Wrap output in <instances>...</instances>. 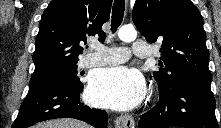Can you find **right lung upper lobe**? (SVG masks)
<instances>
[{"instance_id":"obj_1","label":"right lung upper lobe","mask_w":221,"mask_h":128,"mask_svg":"<svg viewBox=\"0 0 221 128\" xmlns=\"http://www.w3.org/2000/svg\"><path fill=\"white\" fill-rule=\"evenodd\" d=\"M112 0H52L44 11L35 41L32 76L76 65L79 44L92 37L104 42L102 25L109 20Z\"/></svg>"}]
</instances>
